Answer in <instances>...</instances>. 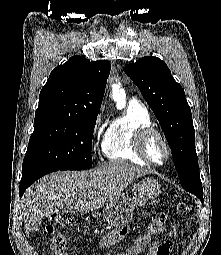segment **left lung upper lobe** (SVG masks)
<instances>
[{"mask_svg":"<svg viewBox=\"0 0 221 255\" xmlns=\"http://www.w3.org/2000/svg\"><path fill=\"white\" fill-rule=\"evenodd\" d=\"M157 117L172 151L182 187L202 192L195 150V131L185 92L157 57L146 56L125 68Z\"/></svg>","mask_w":221,"mask_h":255,"instance_id":"left-lung-upper-lobe-1","label":"left lung upper lobe"}]
</instances>
